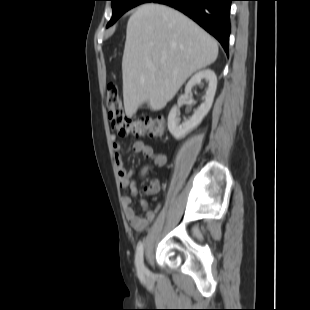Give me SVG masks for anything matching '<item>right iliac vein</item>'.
<instances>
[{
  "label": "right iliac vein",
  "instance_id": "obj_1",
  "mask_svg": "<svg viewBox=\"0 0 310 310\" xmlns=\"http://www.w3.org/2000/svg\"><path fill=\"white\" fill-rule=\"evenodd\" d=\"M144 275L146 276V277H149L150 276V273H149V271L146 269V268H144Z\"/></svg>",
  "mask_w": 310,
  "mask_h": 310
}]
</instances>
